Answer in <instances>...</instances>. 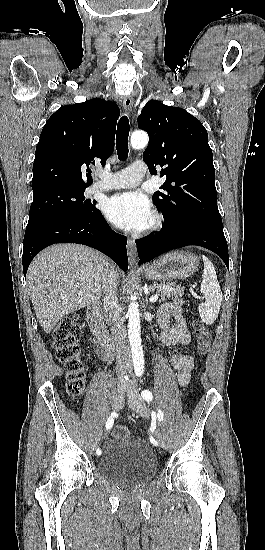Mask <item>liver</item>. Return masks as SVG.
<instances>
[{
	"label": "liver",
	"instance_id": "1",
	"mask_svg": "<svg viewBox=\"0 0 265 550\" xmlns=\"http://www.w3.org/2000/svg\"><path fill=\"white\" fill-rule=\"evenodd\" d=\"M118 271L102 253L79 244H55L32 261L28 291L36 317L50 333L64 316L96 303L110 270Z\"/></svg>",
	"mask_w": 265,
	"mask_h": 550
}]
</instances>
